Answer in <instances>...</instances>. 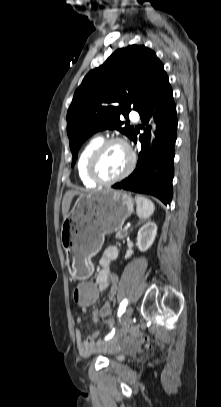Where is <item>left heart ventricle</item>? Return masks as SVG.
I'll return each instance as SVG.
<instances>
[{
	"label": "left heart ventricle",
	"instance_id": "b2bd125f",
	"mask_svg": "<svg viewBox=\"0 0 221 407\" xmlns=\"http://www.w3.org/2000/svg\"><path fill=\"white\" fill-rule=\"evenodd\" d=\"M129 164L127 150L119 145H110L98 159L96 170L103 179H111L120 175Z\"/></svg>",
	"mask_w": 221,
	"mask_h": 407
}]
</instances>
